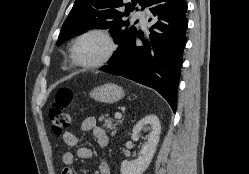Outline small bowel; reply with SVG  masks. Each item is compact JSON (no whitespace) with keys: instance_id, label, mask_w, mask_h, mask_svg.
<instances>
[{"instance_id":"obj_1","label":"small bowel","mask_w":249,"mask_h":174,"mask_svg":"<svg viewBox=\"0 0 249 174\" xmlns=\"http://www.w3.org/2000/svg\"><path fill=\"white\" fill-rule=\"evenodd\" d=\"M81 129L85 132L91 131L100 148H105L108 145V136L105 130L97 125L95 118H85L82 121ZM62 138L64 143L69 147H77L79 144V137L72 132H65ZM93 156L94 152L90 148L86 147H78L75 154L72 152H65L62 156V162L65 167L63 168L61 174H74L70 166L74 163L76 157L81 159H88L92 158ZM98 173L112 174V169L106 160L100 161Z\"/></svg>"}]
</instances>
